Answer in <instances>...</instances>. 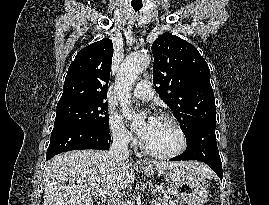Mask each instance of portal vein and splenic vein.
Wrapping results in <instances>:
<instances>
[{
	"instance_id": "portal-vein-and-splenic-vein-1",
	"label": "portal vein and splenic vein",
	"mask_w": 269,
	"mask_h": 205,
	"mask_svg": "<svg viewBox=\"0 0 269 205\" xmlns=\"http://www.w3.org/2000/svg\"><path fill=\"white\" fill-rule=\"evenodd\" d=\"M95 194L98 195V196L105 197L108 193H107L106 190H103V189H96V190H95Z\"/></svg>"
}]
</instances>
